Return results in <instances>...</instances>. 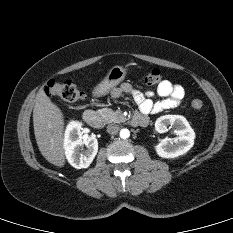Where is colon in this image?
<instances>
[{
	"instance_id": "obj_1",
	"label": "colon",
	"mask_w": 233,
	"mask_h": 233,
	"mask_svg": "<svg viewBox=\"0 0 233 233\" xmlns=\"http://www.w3.org/2000/svg\"><path fill=\"white\" fill-rule=\"evenodd\" d=\"M142 79L148 85H156L164 81L160 71L157 69H151ZM45 93L49 97H56L65 102H76L85 97L84 92L69 80H50L45 87ZM191 106L195 110H200L203 107V101L194 99L191 102Z\"/></svg>"
}]
</instances>
